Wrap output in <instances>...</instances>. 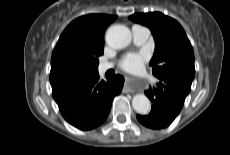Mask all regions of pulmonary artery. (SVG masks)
<instances>
[{
    "label": "pulmonary artery",
    "instance_id": "pulmonary-artery-1",
    "mask_svg": "<svg viewBox=\"0 0 230 155\" xmlns=\"http://www.w3.org/2000/svg\"><path fill=\"white\" fill-rule=\"evenodd\" d=\"M150 31L148 28L143 27V26H138L135 25L132 27V36H133V41L136 45H143L147 39L149 38ZM111 63H102L98 67V71L100 73H105L109 69L112 68Z\"/></svg>",
    "mask_w": 230,
    "mask_h": 155
}]
</instances>
